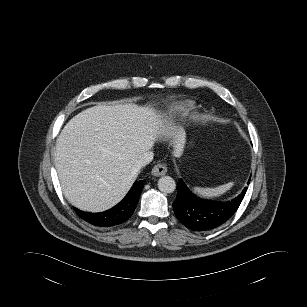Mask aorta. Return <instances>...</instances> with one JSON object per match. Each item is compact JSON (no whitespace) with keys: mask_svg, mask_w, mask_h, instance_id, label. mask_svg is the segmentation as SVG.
Masks as SVG:
<instances>
[{"mask_svg":"<svg viewBox=\"0 0 307 307\" xmlns=\"http://www.w3.org/2000/svg\"><path fill=\"white\" fill-rule=\"evenodd\" d=\"M158 188L162 193H172L176 189V183L170 176H163L158 180Z\"/></svg>","mask_w":307,"mask_h":307,"instance_id":"aorta-1","label":"aorta"}]
</instances>
